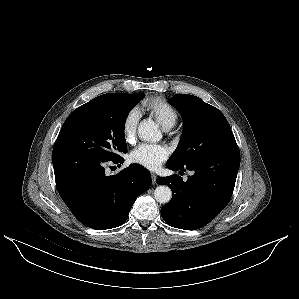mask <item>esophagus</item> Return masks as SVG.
Masks as SVG:
<instances>
[{
	"instance_id": "esophagus-1",
	"label": "esophagus",
	"mask_w": 299,
	"mask_h": 299,
	"mask_svg": "<svg viewBox=\"0 0 299 299\" xmlns=\"http://www.w3.org/2000/svg\"><path fill=\"white\" fill-rule=\"evenodd\" d=\"M151 178H152V184L155 185L156 184V180H157L156 174L151 173Z\"/></svg>"
}]
</instances>
